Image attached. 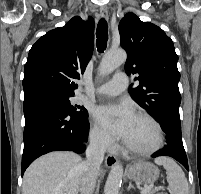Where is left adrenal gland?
I'll return each instance as SVG.
<instances>
[{"label": "left adrenal gland", "instance_id": "1", "mask_svg": "<svg viewBox=\"0 0 201 194\" xmlns=\"http://www.w3.org/2000/svg\"><path fill=\"white\" fill-rule=\"evenodd\" d=\"M132 188H134V187H133L132 183L130 182L127 190L129 191Z\"/></svg>", "mask_w": 201, "mask_h": 194}]
</instances>
